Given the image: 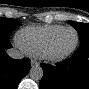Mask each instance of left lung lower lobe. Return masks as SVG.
<instances>
[{"label": "left lung lower lobe", "mask_w": 89, "mask_h": 89, "mask_svg": "<svg viewBox=\"0 0 89 89\" xmlns=\"http://www.w3.org/2000/svg\"><path fill=\"white\" fill-rule=\"evenodd\" d=\"M40 89H89V40H81L73 56L56 66L41 64Z\"/></svg>", "instance_id": "1"}]
</instances>
